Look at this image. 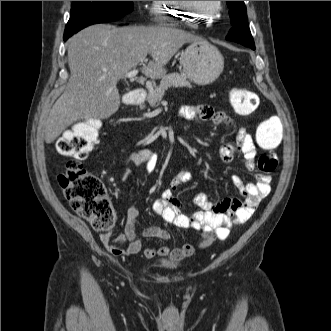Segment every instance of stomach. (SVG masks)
<instances>
[{"label": "stomach", "instance_id": "stomach-1", "mask_svg": "<svg viewBox=\"0 0 331 331\" xmlns=\"http://www.w3.org/2000/svg\"><path fill=\"white\" fill-rule=\"evenodd\" d=\"M180 63L184 76L199 85L215 81L224 68V59L219 50L203 39L190 43Z\"/></svg>", "mask_w": 331, "mask_h": 331}]
</instances>
